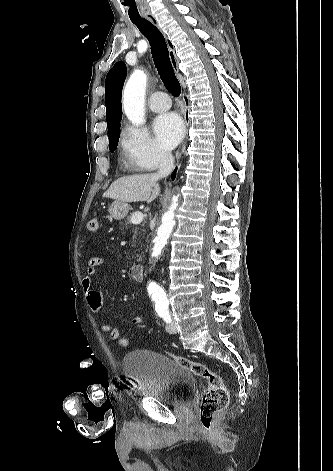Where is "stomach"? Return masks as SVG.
Listing matches in <instances>:
<instances>
[{
  "label": "stomach",
  "instance_id": "1",
  "mask_svg": "<svg viewBox=\"0 0 333 471\" xmlns=\"http://www.w3.org/2000/svg\"><path fill=\"white\" fill-rule=\"evenodd\" d=\"M129 211V205L126 202H120L115 200L110 208H109V213L112 218L115 220H121L123 219Z\"/></svg>",
  "mask_w": 333,
  "mask_h": 471
}]
</instances>
